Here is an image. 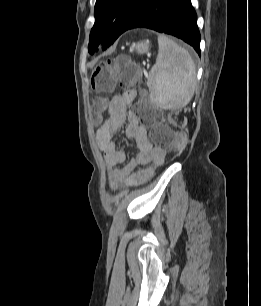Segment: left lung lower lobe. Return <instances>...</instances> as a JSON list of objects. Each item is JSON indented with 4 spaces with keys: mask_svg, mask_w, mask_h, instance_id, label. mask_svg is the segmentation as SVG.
Returning a JSON list of instances; mask_svg holds the SVG:
<instances>
[{
    "mask_svg": "<svg viewBox=\"0 0 261 306\" xmlns=\"http://www.w3.org/2000/svg\"><path fill=\"white\" fill-rule=\"evenodd\" d=\"M148 28L176 36L200 55V33L191 0H145L125 31Z\"/></svg>",
    "mask_w": 261,
    "mask_h": 306,
    "instance_id": "left-lung-lower-lobe-1",
    "label": "left lung lower lobe"
}]
</instances>
